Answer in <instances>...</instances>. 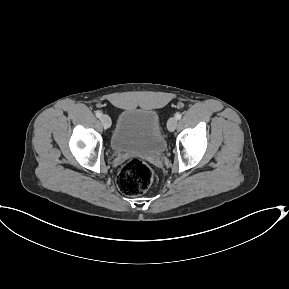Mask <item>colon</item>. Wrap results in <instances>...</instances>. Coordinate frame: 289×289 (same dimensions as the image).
Listing matches in <instances>:
<instances>
[{
    "mask_svg": "<svg viewBox=\"0 0 289 289\" xmlns=\"http://www.w3.org/2000/svg\"><path fill=\"white\" fill-rule=\"evenodd\" d=\"M153 182L151 167L141 159L129 160L121 169L117 185L120 191L129 196L146 192Z\"/></svg>",
    "mask_w": 289,
    "mask_h": 289,
    "instance_id": "1",
    "label": "colon"
}]
</instances>
